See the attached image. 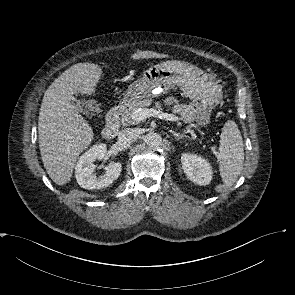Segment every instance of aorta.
<instances>
[{
	"mask_svg": "<svg viewBox=\"0 0 295 295\" xmlns=\"http://www.w3.org/2000/svg\"><path fill=\"white\" fill-rule=\"evenodd\" d=\"M145 142L149 147L153 148L161 144L162 138L159 134L151 132L147 134Z\"/></svg>",
	"mask_w": 295,
	"mask_h": 295,
	"instance_id": "aorta-1",
	"label": "aorta"
}]
</instances>
